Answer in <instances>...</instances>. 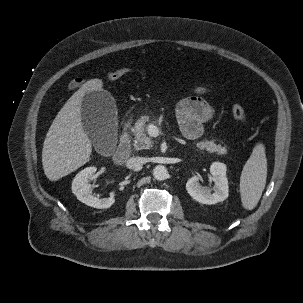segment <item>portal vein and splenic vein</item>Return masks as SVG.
Instances as JSON below:
<instances>
[{"label":"portal vein and splenic vein","instance_id":"obj_1","mask_svg":"<svg viewBox=\"0 0 303 303\" xmlns=\"http://www.w3.org/2000/svg\"><path fill=\"white\" fill-rule=\"evenodd\" d=\"M149 130L151 132H153V134H157L158 133V128L156 126H154V125H150L149 126Z\"/></svg>","mask_w":303,"mask_h":303}]
</instances>
